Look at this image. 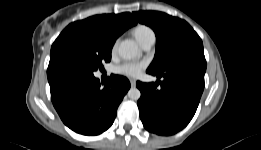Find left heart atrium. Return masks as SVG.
<instances>
[{"mask_svg":"<svg viewBox=\"0 0 261 150\" xmlns=\"http://www.w3.org/2000/svg\"><path fill=\"white\" fill-rule=\"evenodd\" d=\"M145 67L146 62L144 61H128L118 65L116 71L126 76L137 77Z\"/></svg>","mask_w":261,"mask_h":150,"instance_id":"obj_1","label":"left heart atrium"}]
</instances>
